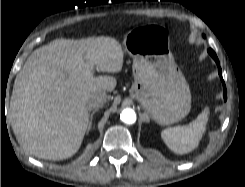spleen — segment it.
Segmentation results:
<instances>
[{
  "label": "spleen",
  "mask_w": 245,
  "mask_h": 187,
  "mask_svg": "<svg viewBox=\"0 0 245 187\" xmlns=\"http://www.w3.org/2000/svg\"><path fill=\"white\" fill-rule=\"evenodd\" d=\"M208 118L209 108L205 107L191 123L164 129L161 132V137L171 151L177 154L189 153L198 146L202 139Z\"/></svg>",
  "instance_id": "1"
}]
</instances>
